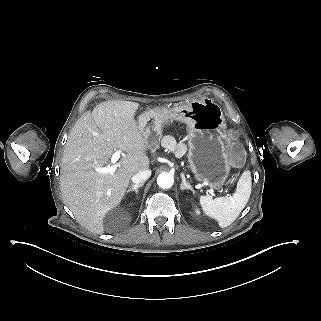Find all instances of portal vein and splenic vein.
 Here are the masks:
<instances>
[{
	"mask_svg": "<svg viewBox=\"0 0 321 321\" xmlns=\"http://www.w3.org/2000/svg\"><path fill=\"white\" fill-rule=\"evenodd\" d=\"M120 155H121V151L120 150H117L116 152H114L112 154V157H111V163L113 165H108L106 167H100V168H95V171L98 172V173H110V174H113L116 170H117V167H118V164H116V162L119 160L120 158ZM200 186L204 187L206 189V191H208V193H210V196L211 198H216V193H214L212 190H209V188L204 184V183H200Z\"/></svg>",
	"mask_w": 321,
	"mask_h": 321,
	"instance_id": "portal-vein-and-splenic-vein-1",
	"label": "portal vein and splenic vein"
}]
</instances>
